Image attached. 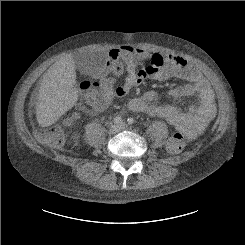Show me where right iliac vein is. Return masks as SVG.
Returning <instances> with one entry per match:
<instances>
[{
  "label": "right iliac vein",
  "mask_w": 245,
  "mask_h": 245,
  "mask_svg": "<svg viewBox=\"0 0 245 245\" xmlns=\"http://www.w3.org/2000/svg\"><path fill=\"white\" fill-rule=\"evenodd\" d=\"M119 131V126L118 125H112L110 128H109V132L111 134H115Z\"/></svg>",
  "instance_id": "obj_1"
}]
</instances>
